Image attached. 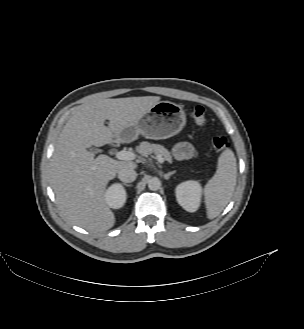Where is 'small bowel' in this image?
Masks as SVG:
<instances>
[{
    "label": "small bowel",
    "mask_w": 304,
    "mask_h": 329,
    "mask_svg": "<svg viewBox=\"0 0 304 329\" xmlns=\"http://www.w3.org/2000/svg\"><path fill=\"white\" fill-rule=\"evenodd\" d=\"M173 155L178 160H187L193 156V148L188 143H179L173 148Z\"/></svg>",
    "instance_id": "c3829d8e"
}]
</instances>
